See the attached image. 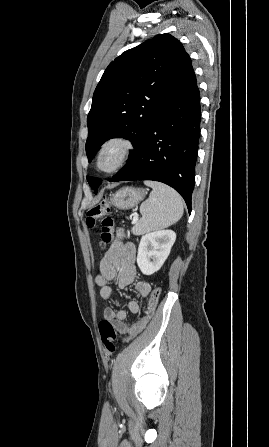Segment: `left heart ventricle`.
Here are the masks:
<instances>
[{"label":"left heart ventricle","instance_id":"obj_1","mask_svg":"<svg viewBox=\"0 0 269 447\" xmlns=\"http://www.w3.org/2000/svg\"><path fill=\"white\" fill-rule=\"evenodd\" d=\"M116 158V151L110 150L103 154L100 166L101 168L105 169L108 168L115 160Z\"/></svg>","mask_w":269,"mask_h":447}]
</instances>
